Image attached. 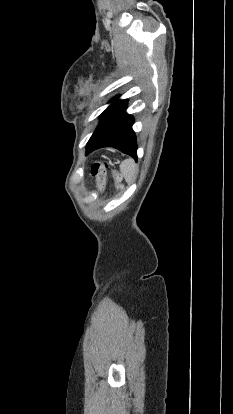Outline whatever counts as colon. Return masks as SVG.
Segmentation results:
<instances>
[{
	"label": "colon",
	"instance_id": "5ec220e1",
	"mask_svg": "<svg viewBox=\"0 0 233 414\" xmlns=\"http://www.w3.org/2000/svg\"><path fill=\"white\" fill-rule=\"evenodd\" d=\"M108 168V164L106 162H95L92 165L91 168V174L92 176L96 177V178H100L104 175V173L106 172V169ZM115 179L119 182L120 181V175L117 172L113 173Z\"/></svg>",
	"mask_w": 233,
	"mask_h": 414
}]
</instances>
